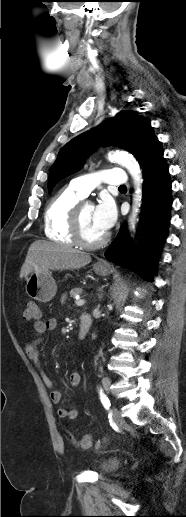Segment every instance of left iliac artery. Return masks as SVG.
I'll return each mask as SVG.
<instances>
[{"label":"left iliac artery","instance_id":"44dca946","mask_svg":"<svg viewBox=\"0 0 186 517\" xmlns=\"http://www.w3.org/2000/svg\"><path fill=\"white\" fill-rule=\"evenodd\" d=\"M99 395H100L101 403L103 404L104 408L108 410L111 406L110 400L105 395V393L102 391V389L99 390Z\"/></svg>","mask_w":186,"mask_h":517}]
</instances>
